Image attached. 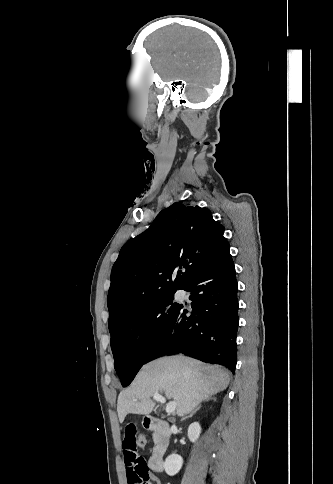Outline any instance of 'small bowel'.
Returning a JSON list of instances; mask_svg holds the SVG:
<instances>
[{"label":"small bowel","instance_id":"1","mask_svg":"<svg viewBox=\"0 0 333 484\" xmlns=\"http://www.w3.org/2000/svg\"><path fill=\"white\" fill-rule=\"evenodd\" d=\"M136 438V426L135 424L128 422L124 428V438L122 443L127 483L161 484L160 480L150 472L144 457L138 453Z\"/></svg>","mask_w":333,"mask_h":484}]
</instances>
